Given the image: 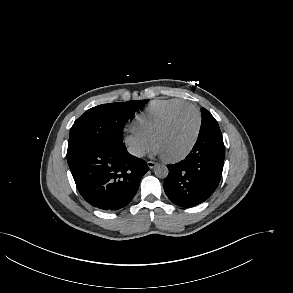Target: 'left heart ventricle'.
Instances as JSON below:
<instances>
[{
    "instance_id": "left-heart-ventricle-1",
    "label": "left heart ventricle",
    "mask_w": 293,
    "mask_h": 293,
    "mask_svg": "<svg viewBox=\"0 0 293 293\" xmlns=\"http://www.w3.org/2000/svg\"><path fill=\"white\" fill-rule=\"evenodd\" d=\"M196 127L197 117L194 111L183 112L156 138L154 145L160 149L163 156H177L191 144Z\"/></svg>"
}]
</instances>
